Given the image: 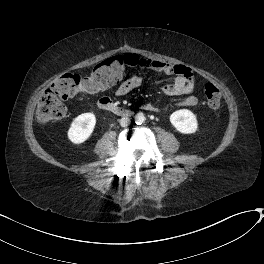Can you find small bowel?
I'll return each mask as SVG.
<instances>
[{"label": "small bowel", "mask_w": 264, "mask_h": 264, "mask_svg": "<svg viewBox=\"0 0 264 264\" xmlns=\"http://www.w3.org/2000/svg\"><path fill=\"white\" fill-rule=\"evenodd\" d=\"M132 56L135 59V67L172 76V80L164 84L162 90L167 95H185V98L178 105L194 107L198 104V97L193 93L195 87L194 79L191 77V72L187 66L143 58L137 55ZM142 84V77L127 75L116 88L115 94L117 96H124ZM143 109L149 112L158 111V107L153 103H145Z\"/></svg>", "instance_id": "small-bowel-1"}]
</instances>
